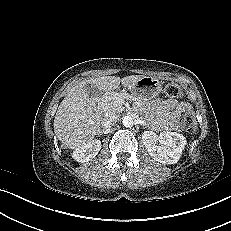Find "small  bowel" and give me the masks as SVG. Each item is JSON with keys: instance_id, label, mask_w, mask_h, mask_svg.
<instances>
[{"instance_id": "small-bowel-1", "label": "small bowel", "mask_w": 231, "mask_h": 231, "mask_svg": "<svg viewBox=\"0 0 231 231\" xmlns=\"http://www.w3.org/2000/svg\"><path fill=\"white\" fill-rule=\"evenodd\" d=\"M149 109L155 117L156 125L164 130L175 128L180 114L190 111V105L177 100H155L149 104Z\"/></svg>"}]
</instances>
